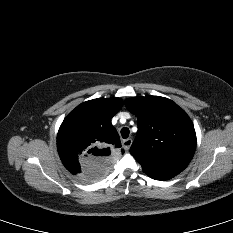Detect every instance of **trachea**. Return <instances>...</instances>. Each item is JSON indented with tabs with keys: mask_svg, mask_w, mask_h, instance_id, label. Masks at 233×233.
<instances>
[{
	"mask_svg": "<svg viewBox=\"0 0 233 233\" xmlns=\"http://www.w3.org/2000/svg\"><path fill=\"white\" fill-rule=\"evenodd\" d=\"M121 135L122 138L126 139L129 136V129L127 127H124L121 129Z\"/></svg>",
	"mask_w": 233,
	"mask_h": 233,
	"instance_id": "3493384b",
	"label": "trachea"
}]
</instances>
